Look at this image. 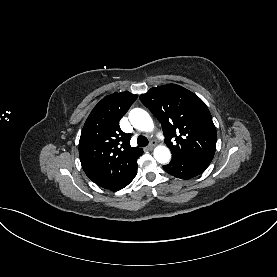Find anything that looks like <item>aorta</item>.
<instances>
[{"label":"aorta","instance_id":"1","mask_svg":"<svg viewBox=\"0 0 277 277\" xmlns=\"http://www.w3.org/2000/svg\"><path fill=\"white\" fill-rule=\"evenodd\" d=\"M129 120L134 128L141 131H151L154 127L150 115L140 108H135L130 111ZM153 154L156 161L161 164L168 163L171 158L170 150L163 145L157 146Z\"/></svg>","mask_w":277,"mask_h":277}]
</instances>
